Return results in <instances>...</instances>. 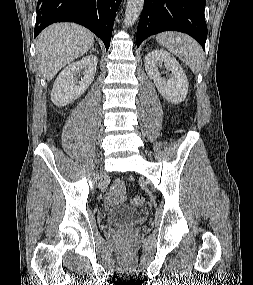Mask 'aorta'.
<instances>
[{"instance_id":"aorta-1","label":"aorta","mask_w":253,"mask_h":285,"mask_svg":"<svg viewBox=\"0 0 253 285\" xmlns=\"http://www.w3.org/2000/svg\"><path fill=\"white\" fill-rule=\"evenodd\" d=\"M144 6V0H127L125 10V25L132 26L140 16Z\"/></svg>"}]
</instances>
